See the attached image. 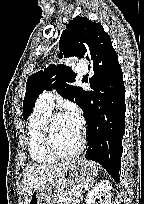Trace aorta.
Listing matches in <instances>:
<instances>
[{"instance_id": "1", "label": "aorta", "mask_w": 144, "mask_h": 204, "mask_svg": "<svg viewBox=\"0 0 144 204\" xmlns=\"http://www.w3.org/2000/svg\"><path fill=\"white\" fill-rule=\"evenodd\" d=\"M71 61H72V62H75V61H76V59H71Z\"/></svg>"}]
</instances>
